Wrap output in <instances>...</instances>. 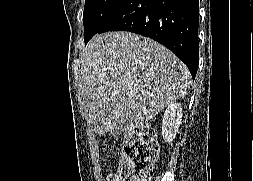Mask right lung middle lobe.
<instances>
[{"label":"right lung middle lobe","instance_id":"obj_1","mask_svg":"<svg viewBox=\"0 0 253 181\" xmlns=\"http://www.w3.org/2000/svg\"><path fill=\"white\" fill-rule=\"evenodd\" d=\"M129 0H85L84 35L99 31Z\"/></svg>","mask_w":253,"mask_h":181}]
</instances>
